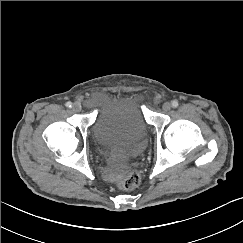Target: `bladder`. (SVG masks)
I'll return each instance as SVG.
<instances>
[{
  "label": "bladder",
  "instance_id": "1",
  "mask_svg": "<svg viewBox=\"0 0 243 243\" xmlns=\"http://www.w3.org/2000/svg\"><path fill=\"white\" fill-rule=\"evenodd\" d=\"M91 136L99 156L124 167L143 152L148 132L138 105L114 96L97 110Z\"/></svg>",
  "mask_w": 243,
  "mask_h": 243
}]
</instances>
